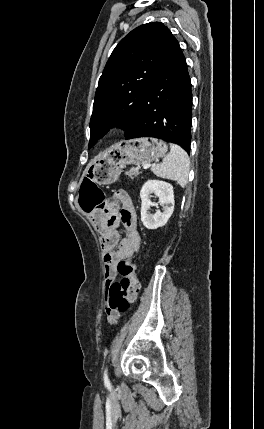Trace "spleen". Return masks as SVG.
<instances>
[{"mask_svg":"<svg viewBox=\"0 0 264 429\" xmlns=\"http://www.w3.org/2000/svg\"><path fill=\"white\" fill-rule=\"evenodd\" d=\"M189 164L187 153L180 146L170 143V153L151 170L156 176L176 181L184 188L188 182Z\"/></svg>","mask_w":264,"mask_h":429,"instance_id":"obj_1","label":"spleen"}]
</instances>
